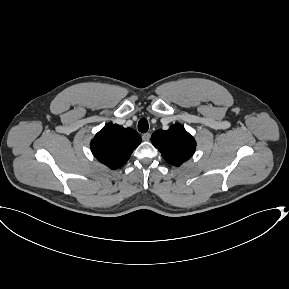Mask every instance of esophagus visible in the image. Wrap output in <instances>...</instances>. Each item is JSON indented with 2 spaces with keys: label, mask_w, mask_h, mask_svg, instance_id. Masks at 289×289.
<instances>
[{
  "label": "esophagus",
  "mask_w": 289,
  "mask_h": 289,
  "mask_svg": "<svg viewBox=\"0 0 289 289\" xmlns=\"http://www.w3.org/2000/svg\"><path fill=\"white\" fill-rule=\"evenodd\" d=\"M150 137H151L150 133H144V134L142 135V139H143L144 141H149V140H150Z\"/></svg>",
  "instance_id": "34e87169"
}]
</instances>
